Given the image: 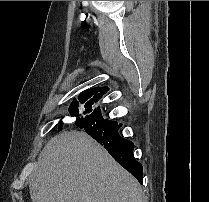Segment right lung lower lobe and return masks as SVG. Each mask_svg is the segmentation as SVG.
Returning a JSON list of instances; mask_svg holds the SVG:
<instances>
[{"label":"right lung lower lobe","mask_w":209,"mask_h":202,"mask_svg":"<svg viewBox=\"0 0 209 202\" xmlns=\"http://www.w3.org/2000/svg\"><path fill=\"white\" fill-rule=\"evenodd\" d=\"M107 90V87L103 90L95 88L80 94L81 103L84 104L86 111L75 124L103 145L111 156L142 184L143 167L134 159V144L119 135L121 124L104 119L99 108L92 110V105L99 101Z\"/></svg>","instance_id":"right-lung-lower-lobe-1"}]
</instances>
